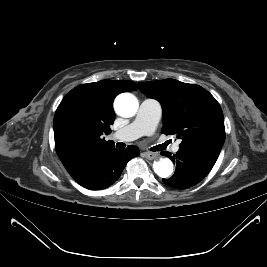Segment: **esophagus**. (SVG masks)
<instances>
[{
    "label": "esophagus",
    "mask_w": 267,
    "mask_h": 267,
    "mask_svg": "<svg viewBox=\"0 0 267 267\" xmlns=\"http://www.w3.org/2000/svg\"><path fill=\"white\" fill-rule=\"evenodd\" d=\"M144 156L149 160H154L158 158V154L152 152H144Z\"/></svg>",
    "instance_id": "1"
}]
</instances>
